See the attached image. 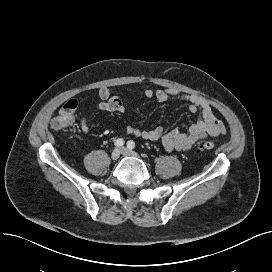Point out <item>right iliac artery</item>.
<instances>
[{
  "instance_id": "right-iliac-artery-1",
  "label": "right iliac artery",
  "mask_w": 272,
  "mask_h": 272,
  "mask_svg": "<svg viewBox=\"0 0 272 272\" xmlns=\"http://www.w3.org/2000/svg\"><path fill=\"white\" fill-rule=\"evenodd\" d=\"M124 145V140L119 138L115 141V146L116 147H122Z\"/></svg>"
}]
</instances>
